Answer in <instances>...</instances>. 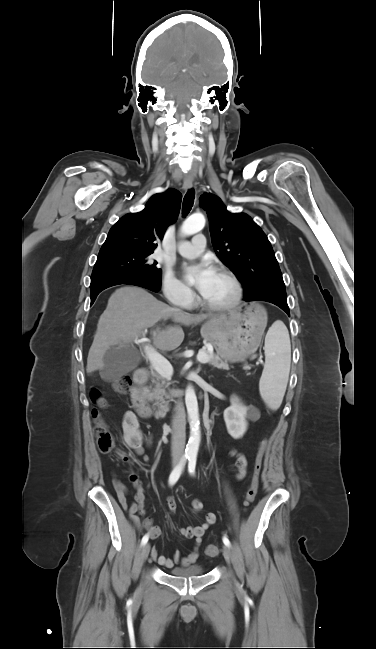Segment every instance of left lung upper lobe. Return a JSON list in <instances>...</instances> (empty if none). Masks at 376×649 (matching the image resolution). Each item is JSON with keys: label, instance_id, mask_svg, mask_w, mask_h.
Instances as JSON below:
<instances>
[{"label": "left lung upper lobe", "instance_id": "left-lung-upper-lobe-1", "mask_svg": "<svg viewBox=\"0 0 376 649\" xmlns=\"http://www.w3.org/2000/svg\"><path fill=\"white\" fill-rule=\"evenodd\" d=\"M199 205L207 212L216 255L245 284V301L272 297L287 301L273 248L261 228L245 213H229L221 199L205 192Z\"/></svg>", "mask_w": 376, "mask_h": 649}]
</instances>
